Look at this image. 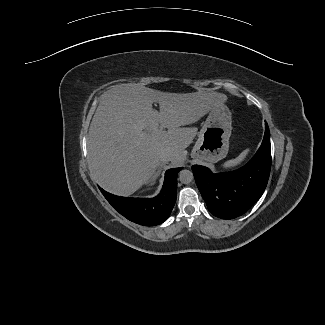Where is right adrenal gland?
I'll return each mask as SVG.
<instances>
[{
    "instance_id": "2a0ac1e0",
    "label": "right adrenal gland",
    "mask_w": 325,
    "mask_h": 325,
    "mask_svg": "<svg viewBox=\"0 0 325 325\" xmlns=\"http://www.w3.org/2000/svg\"><path fill=\"white\" fill-rule=\"evenodd\" d=\"M165 163H160L159 168L157 170V172L154 174V176L152 177V181H155L157 179V177L159 176L160 172H161V168Z\"/></svg>"
}]
</instances>
